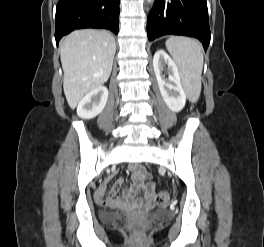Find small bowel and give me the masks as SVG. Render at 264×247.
<instances>
[{
    "instance_id": "c3829d8e",
    "label": "small bowel",
    "mask_w": 264,
    "mask_h": 247,
    "mask_svg": "<svg viewBox=\"0 0 264 247\" xmlns=\"http://www.w3.org/2000/svg\"><path fill=\"white\" fill-rule=\"evenodd\" d=\"M132 185L123 191L120 186L122 179H118L111 189L109 198L104 196L103 191H98L96 198L99 202H110L117 205L125 204L129 199H133L141 190L146 200H151L154 195L155 186L149 184L145 187L142 186V181L145 178L144 169L141 165L135 164L130 167Z\"/></svg>"
}]
</instances>
